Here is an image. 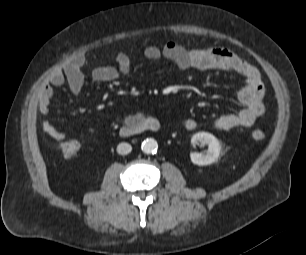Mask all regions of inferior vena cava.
Here are the masks:
<instances>
[{
	"mask_svg": "<svg viewBox=\"0 0 306 255\" xmlns=\"http://www.w3.org/2000/svg\"><path fill=\"white\" fill-rule=\"evenodd\" d=\"M132 151V146L128 143H120L117 146V152L120 155H126L129 154Z\"/></svg>",
	"mask_w": 306,
	"mask_h": 255,
	"instance_id": "inferior-vena-cava-1",
	"label": "inferior vena cava"
}]
</instances>
